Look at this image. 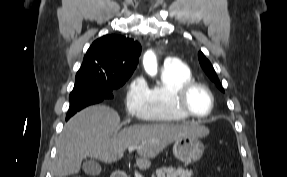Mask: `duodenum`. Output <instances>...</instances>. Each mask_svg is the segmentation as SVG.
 <instances>
[{"instance_id":"410a0bca","label":"duodenum","mask_w":287,"mask_h":177,"mask_svg":"<svg viewBox=\"0 0 287 177\" xmlns=\"http://www.w3.org/2000/svg\"><path fill=\"white\" fill-rule=\"evenodd\" d=\"M111 177H128L126 174H124L122 171L120 170H116Z\"/></svg>"}]
</instances>
